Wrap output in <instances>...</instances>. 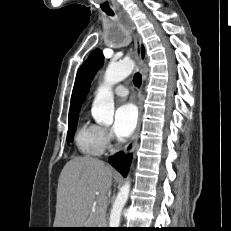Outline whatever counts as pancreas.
Returning a JSON list of instances; mask_svg holds the SVG:
<instances>
[{
    "instance_id": "obj_1",
    "label": "pancreas",
    "mask_w": 231,
    "mask_h": 231,
    "mask_svg": "<svg viewBox=\"0 0 231 231\" xmlns=\"http://www.w3.org/2000/svg\"><path fill=\"white\" fill-rule=\"evenodd\" d=\"M106 207V202L97 205L95 214L91 216L90 224L98 227H105L107 225Z\"/></svg>"
}]
</instances>
